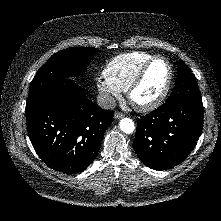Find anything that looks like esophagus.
<instances>
[{
    "label": "esophagus",
    "mask_w": 221,
    "mask_h": 221,
    "mask_svg": "<svg viewBox=\"0 0 221 221\" xmlns=\"http://www.w3.org/2000/svg\"><path fill=\"white\" fill-rule=\"evenodd\" d=\"M124 115L121 113V112H115V114H114V118L115 119H120V118H122Z\"/></svg>",
    "instance_id": "34e87169"
}]
</instances>
